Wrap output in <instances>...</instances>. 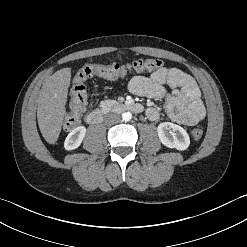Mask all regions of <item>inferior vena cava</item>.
I'll return each mask as SVG.
<instances>
[{"label":"inferior vena cava","mask_w":247,"mask_h":247,"mask_svg":"<svg viewBox=\"0 0 247 247\" xmlns=\"http://www.w3.org/2000/svg\"><path fill=\"white\" fill-rule=\"evenodd\" d=\"M120 121V116L116 113H109L105 116V122L109 124H114Z\"/></svg>","instance_id":"obj_1"}]
</instances>
